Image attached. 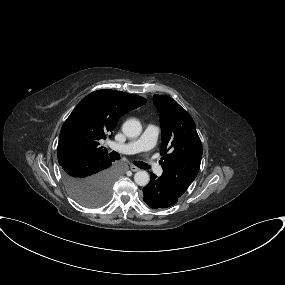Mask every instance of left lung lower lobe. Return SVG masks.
<instances>
[{
    "label": "left lung lower lobe",
    "mask_w": 285,
    "mask_h": 285,
    "mask_svg": "<svg viewBox=\"0 0 285 285\" xmlns=\"http://www.w3.org/2000/svg\"><path fill=\"white\" fill-rule=\"evenodd\" d=\"M185 191L179 189L166 176L151 173L150 183L143 188V200L153 209L167 208L178 202Z\"/></svg>",
    "instance_id": "0a47b994"
}]
</instances>
